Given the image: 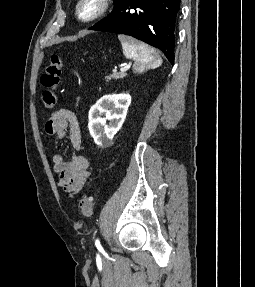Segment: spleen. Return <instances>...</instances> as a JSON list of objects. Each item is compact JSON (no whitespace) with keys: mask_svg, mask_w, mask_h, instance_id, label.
Segmentation results:
<instances>
[{"mask_svg":"<svg viewBox=\"0 0 255 287\" xmlns=\"http://www.w3.org/2000/svg\"><path fill=\"white\" fill-rule=\"evenodd\" d=\"M118 40H120L122 44L124 56L129 58V60H135L136 66H146V68H158V66H161L162 60L159 56H155V58L151 60L150 56L154 54V52L147 44L132 40V38L123 36V34L118 36Z\"/></svg>","mask_w":255,"mask_h":287,"instance_id":"spleen-1","label":"spleen"}]
</instances>
